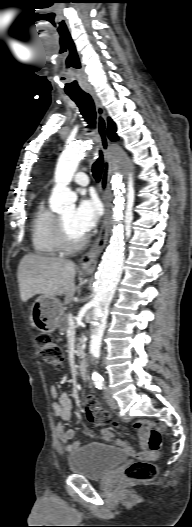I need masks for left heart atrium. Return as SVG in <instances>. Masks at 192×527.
I'll list each match as a JSON object with an SVG mask.
<instances>
[{
    "mask_svg": "<svg viewBox=\"0 0 192 527\" xmlns=\"http://www.w3.org/2000/svg\"><path fill=\"white\" fill-rule=\"evenodd\" d=\"M101 215L100 204L94 197L84 198L74 210L72 223L83 236L97 225Z\"/></svg>",
    "mask_w": 192,
    "mask_h": 527,
    "instance_id": "39dd6f15",
    "label": "left heart atrium"
}]
</instances>
